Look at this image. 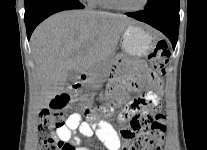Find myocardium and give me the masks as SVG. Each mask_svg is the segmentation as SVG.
I'll use <instances>...</instances> for the list:
<instances>
[{
    "mask_svg": "<svg viewBox=\"0 0 207 150\" xmlns=\"http://www.w3.org/2000/svg\"><path fill=\"white\" fill-rule=\"evenodd\" d=\"M110 2L113 4V6H114L116 9H119V10H121V11H123V12L137 13V12H141L142 10H144V9L147 7V5H148V3H149V0H144V1H143V4H142L140 7L135 8V9H128V8L123 7V6L120 4L119 0H110Z\"/></svg>",
    "mask_w": 207,
    "mask_h": 150,
    "instance_id": "1",
    "label": "myocardium"
}]
</instances>
